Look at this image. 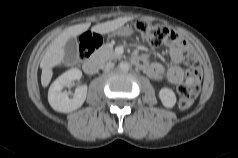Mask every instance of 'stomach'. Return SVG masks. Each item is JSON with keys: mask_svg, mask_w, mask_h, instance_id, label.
Segmentation results:
<instances>
[{"mask_svg": "<svg viewBox=\"0 0 238 158\" xmlns=\"http://www.w3.org/2000/svg\"><path fill=\"white\" fill-rule=\"evenodd\" d=\"M133 34V29L129 26L122 27L117 31V35L119 36H130Z\"/></svg>", "mask_w": 238, "mask_h": 158, "instance_id": "stomach-1", "label": "stomach"}]
</instances>
